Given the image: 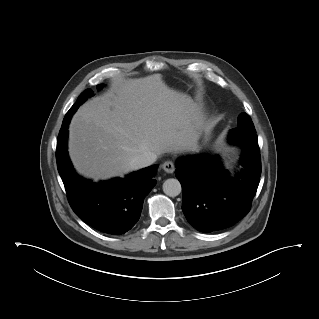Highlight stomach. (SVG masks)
<instances>
[{"label": "stomach", "mask_w": 319, "mask_h": 319, "mask_svg": "<svg viewBox=\"0 0 319 319\" xmlns=\"http://www.w3.org/2000/svg\"><path fill=\"white\" fill-rule=\"evenodd\" d=\"M211 132H212V126L205 128V136H204V141L207 143L211 137Z\"/></svg>", "instance_id": "obj_1"}]
</instances>
